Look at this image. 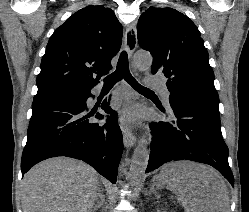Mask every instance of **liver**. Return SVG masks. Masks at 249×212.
Returning <instances> with one entry per match:
<instances>
[{
    "label": "liver",
    "mask_w": 249,
    "mask_h": 212,
    "mask_svg": "<svg viewBox=\"0 0 249 212\" xmlns=\"http://www.w3.org/2000/svg\"><path fill=\"white\" fill-rule=\"evenodd\" d=\"M157 190L168 188L185 212H230L228 188L219 172L197 162H172L153 178ZM99 174L84 162L50 158L22 180L23 212H92Z\"/></svg>",
    "instance_id": "6515ba94"
}]
</instances>
